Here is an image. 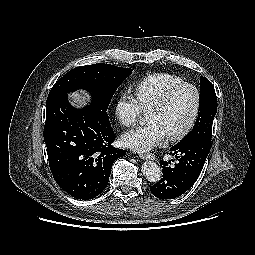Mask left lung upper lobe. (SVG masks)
I'll return each mask as SVG.
<instances>
[{
    "mask_svg": "<svg viewBox=\"0 0 255 255\" xmlns=\"http://www.w3.org/2000/svg\"><path fill=\"white\" fill-rule=\"evenodd\" d=\"M200 101L196 123L192 131L176 146L185 145L201 139L211 141L213 119L217 112V98L212 83L200 77Z\"/></svg>",
    "mask_w": 255,
    "mask_h": 255,
    "instance_id": "1",
    "label": "left lung upper lobe"
}]
</instances>
